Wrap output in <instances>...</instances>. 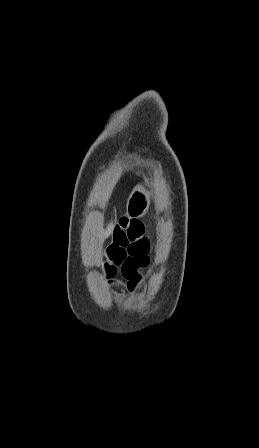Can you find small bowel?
I'll list each match as a JSON object with an SVG mask.
<instances>
[{"label":"small bowel","mask_w":259,"mask_h":448,"mask_svg":"<svg viewBox=\"0 0 259 448\" xmlns=\"http://www.w3.org/2000/svg\"><path fill=\"white\" fill-rule=\"evenodd\" d=\"M149 264V241L143 225L137 220H123L112 231V240L106 249L105 269L108 278L118 271L134 288L140 280V271Z\"/></svg>","instance_id":"small-bowel-1"}]
</instances>
